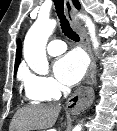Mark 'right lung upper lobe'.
<instances>
[{"instance_id":"right-lung-upper-lobe-1","label":"right lung upper lobe","mask_w":117,"mask_h":131,"mask_svg":"<svg viewBox=\"0 0 117 131\" xmlns=\"http://www.w3.org/2000/svg\"><path fill=\"white\" fill-rule=\"evenodd\" d=\"M73 3L74 5L76 6V8H80V4L77 0H73ZM22 46H21V41L18 40L17 42V51H16V61H15V67H14V70L16 71L17 68H18V65L20 64L21 62V54H22V50H21Z\"/></svg>"}]
</instances>
